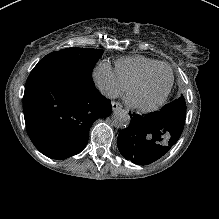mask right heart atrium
I'll list each match as a JSON object with an SVG mask.
<instances>
[{"mask_svg": "<svg viewBox=\"0 0 219 219\" xmlns=\"http://www.w3.org/2000/svg\"><path fill=\"white\" fill-rule=\"evenodd\" d=\"M93 78L99 89L108 97L118 96L125 90L124 85L118 81L106 62H100L94 67Z\"/></svg>", "mask_w": 219, "mask_h": 219, "instance_id": "obj_1", "label": "right heart atrium"}]
</instances>
